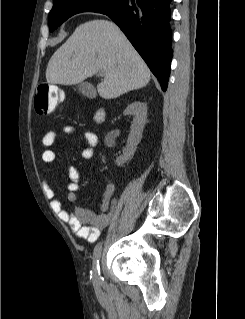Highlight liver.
Here are the masks:
<instances>
[{
	"mask_svg": "<svg viewBox=\"0 0 245 319\" xmlns=\"http://www.w3.org/2000/svg\"><path fill=\"white\" fill-rule=\"evenodd\" d=\"M104 80L97 85L104 99L117 98L140 89L150 81V70L119 27L95 19L80 24L52 55L46 69L50 84L74 85L98 71Z\"/></svg>",
	"mask_w": 245,
	"mask_h": 319,
	"instance_id": "6515ba94",
	"label": "liver"
}]
</instances>
